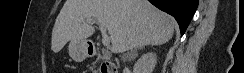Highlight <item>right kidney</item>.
<instances>
[{"instance_id": "obj_1", "label": "right kidney", "mask_w": 244, "mask_h": 73, "mask_svg": "<svg viewBox=\"0 0 244 73\" xmlns=\"http://www.w3.org/2000/svg\"><path fill=\"white\" fill-rule=\"evenodd\" d=\"M157 62L155 53L142 55L134 64L133 73H152Z\"/></svg>"}]
</instances>
